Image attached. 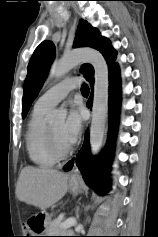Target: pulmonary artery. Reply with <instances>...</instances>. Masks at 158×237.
I'll return each instance as SVG.
<instances>
[{
	"mask_svg": "<svg viewBox=\"0 0 158 237\" xmlns=\"http://www.w3.org/2000/svg\"><path fill=\"white\" fill-rule=\"evenodd\" d=\"M79 84V78L74 77L64 79L50 87L43 95H41L36 101V105L51 109L60 101L65 99L69 92L77 88Z\"/></svg>",
	"mask_w": 158,
	"mask_h": 237,
	"instance_id": "pulmonary-artery-1",
	"label": "pulmonary artery"
}]
</instances>
